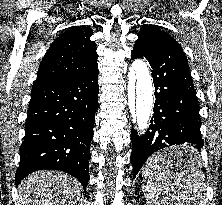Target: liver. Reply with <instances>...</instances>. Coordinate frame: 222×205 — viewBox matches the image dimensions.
Returning <instances> with one entry per match:
<instances>
[{
	"label": "liver",
	"mask_w": 222,
	"mask_h": 205,
	"mask_svg": "<svg viewBox=\"0 0 222 205\" xmlns=\"http://www.w3.org/2000/svg\"><path fill=\"white\" fill-rule=\"evenodd\" d=\"M81 191V184L68 174L38 171L19 185L17 205H75Z\"/></svg>",
	"instance_id": "liver-1"
}]
</instances>
